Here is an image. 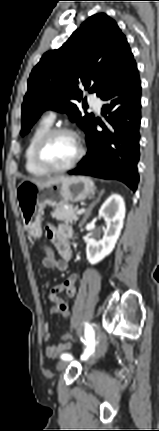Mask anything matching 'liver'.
<instances>
[{"label":"liver","mask_w":159,"mask_h":431,"mask_svg":"<svg viewBox=\"0 0 159 431\" xmlns=\"http://www.w3.org/2000/svg\"><path fill=\"white\" fill-rule=\"evenodd\" d=\"M48 180H50V179H28V181H31L33 183H43V182H46Z\"/></svg>","instance_id":"6515ba94"}]
</instances>
